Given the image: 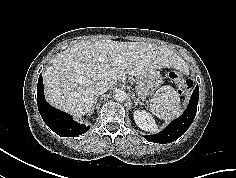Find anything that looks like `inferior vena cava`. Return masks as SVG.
Here are the masks:
<instances>
[{
	"label": "inferior vena cava",
	"instance_id": "obj_1",
	"mask_svg": "<svg viewBox=\"0 0 236 178\" xmlns=\"http://www.w3.org/2000/svg\"><path fill=\"white\" fill-rule=\"evenodd\" d=\"M110 86H111V84L108 82L98 84V86L95 89V95L99 96V95L105 93L109 89Z\"/></svg>",
	"mask_w": 236,
	"mask_h": 178
}]
</instances>
